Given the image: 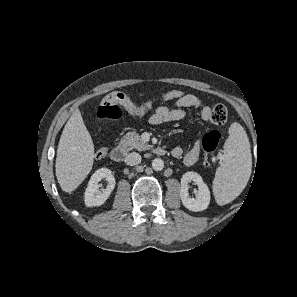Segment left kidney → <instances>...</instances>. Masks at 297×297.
<instances>
[{"label": "left kidney", "mask_w": 297, "mask_h": 297, "mask_svg": "<svg viewBox=\"0 0 297 297\" xmlns=\"http://www.w3.org/2000/svg\"><path fill=\"white\" fill-rule=\"evenodd\" d=\"M192 181L198 186L196 198H190L188 193L189 183ZM180 198L183 205L190 211H203L210 203V191L198 173L186 172L181 178Z\"/></svg>", "instance_id": "5707ae66"}]
</instances>
